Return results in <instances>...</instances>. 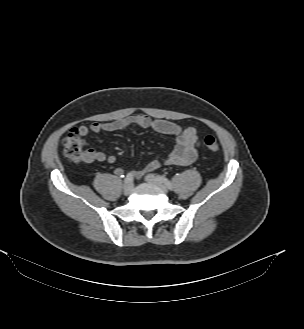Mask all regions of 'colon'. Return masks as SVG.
I'll list each match as a JSON object with an SVG mask.
<instances>
[{
  "label": "colon",
  "mask_w": 304,
  "mask_h": 329,
  "mask_svg": "<svg viewBox=\"0 0 304 329\" xmlns=\"http://www.w3.org/2000/svg\"><path fill=\"white\" fill-rule=\"evenodd\" d=\"M204 145L211 152L219 151V144L213 136H206ZM63 148L65 155L70 160L80 161L83 158L84 140L78 128H72L68 131L63 141Z\"/></svg>",
  "instance_id": "1"
}]
</instances>
